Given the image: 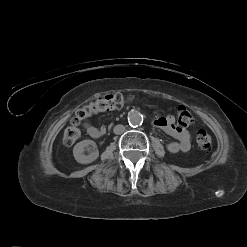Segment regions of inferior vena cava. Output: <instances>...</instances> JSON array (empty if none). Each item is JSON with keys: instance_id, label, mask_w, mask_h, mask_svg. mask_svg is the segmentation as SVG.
<instances>
[{"instance_id": "inferior-vena-cava-1", "label": "inferior vena cava", "mask_w": 247, "mask_h": 247, "mask_svg": "<svg viewBox=\"0 0 247 247\" xmlns=\"http://www.w3.org/2000/svg\"><path fill=\"white\" fill-rule=\"evenodd\" d=\"M126 128L124 125H116L113 129L114 133L117 135H121L125 132Z\"/></svg>"}]
</instances>
